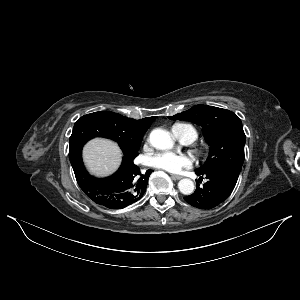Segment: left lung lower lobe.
Wrapping results in <instances>:
<instances>
[{
    "mask_svg": "<svg viewBox=\"0 0 300 300\" xmlns=\"http://www.w3.org/2000/svg\"><path fill=\"white\" fill-rule=\"evenodd\" d=\"M239 173V171L231 168H217L206 173L196 171L200 179L205 176L208 181L203 184V187H199L197 183L195 192L184 197V199L187 203L199 209H212L230 196Z\"/></svg>",
    "mask_w": 300,
    "mask_h": 300,
    "instance_id": "left-lung-lower-lobe-1",
    "label": "left lung lower lobe"
}]
</instances>
